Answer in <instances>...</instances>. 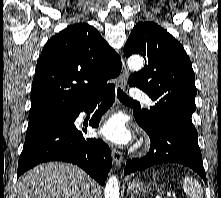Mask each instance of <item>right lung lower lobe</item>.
<instances>
[{
  "mask_svg": "<svg viewBox=\"0 0 221 198\" xmlns=\"http://www.w3.org/2000/svg\"><path fill=\"white\" fill-rule=\"evenodd\" d=\"M101 99L103 102L90 121L92 127H97L98 118L112 106L115 100L114 87L74 113L68 122L56 123L26 136L18 161L17 178L40 163L65 161L78 165L99 184L104 185L112 166L110 149L103 140L84 138L83 135L87 132V128L74 125V121L81 111H92Z\"/></svg>",
  "mask_w": 221,
  "mask_h": 198,
  "instance_id": "obj_1",
  "label": "right lung lower lobe"
}]
</instances>
